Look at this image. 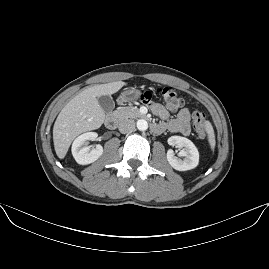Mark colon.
Returning <instances> with one entry per match:
<instances>
[{"mask_svg": "<svg viewBox=\"0 0 269 269\" xmlns=\"http://www.w3.org/2000/svg\"><path fill=\"white\" fill-rule=\"evenodd\" d=\"M158 92L161 95L164 106L169 110L176 111L182 108L183 98L174 90L164 87L160 88ZM139 98L143 102H148L151 100V95L148 92H144L140 94ZM191 123L196 135L200 139H205L207 124L204 114L201 111H193Z\"/></svg>", "mask_w": 269, "mask_h": 269, "instance_id": "1", "label": "colon"}]
</instances>
